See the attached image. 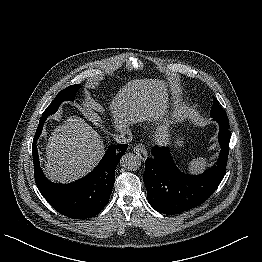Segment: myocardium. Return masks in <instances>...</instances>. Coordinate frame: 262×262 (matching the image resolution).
Here are the masks:
<instances>
[{
  "instance_id": "1",
  "label": "myocardium",
  "mask_w": 262,
  "mask_h": 262,
  "mask_svg": "<svg viewBox=\"0 0 262 262\" xmlns=\"http://www.w3.org/2000/svg\"><path fill=\"white\" fill-rule=\"evenodd\" d=\"M174 138V130L170 124H166L158 129L156 133V141L162 146H166L171 143Z\"/></svg>"
}]
</instances>
